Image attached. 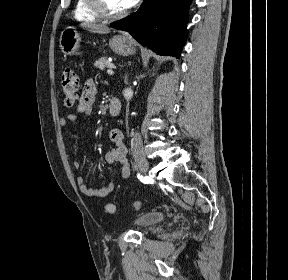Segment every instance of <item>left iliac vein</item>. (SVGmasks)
<instances>
[{
    "instance_id": "1",
    "label": "left iliac vein",
    "mask_w": 288,
    "mask_h": 280,
    "mask_svg": "<svg viewBox=\"0 0 288 280\" xmlns=\"http://www.w3.org/2000/svg\"><path fill=\"white\" fill-rule=\"evenodd\" d=\"M138 165H139V168L141 169V171L147 172L148 163H147L146 159H140L138 162Z\"/></svg>"
}]
</instances>
